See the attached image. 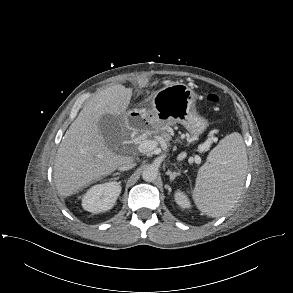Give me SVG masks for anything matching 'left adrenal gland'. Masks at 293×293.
<instances>
[{
    "mask_svg": "<svg viewBox=\"0 0 293 293\" xmlns=\"http://www.w3.org/2000/svg\"><path fill=\"white\" fill-rule=\"evenodd\" d=\"M167 175H169L170 177V181H173L177 176L180 175V173H177V172H171L170 170H168L166 172Z\"/></svg>",
    "mask_w": 293,
    "mask_h": 293,
    "instance_id": "1",
    "label": "left adrenal gland"
}]
</instances>
